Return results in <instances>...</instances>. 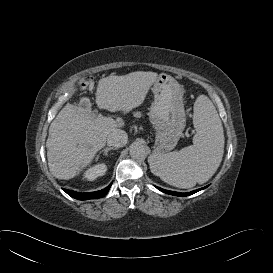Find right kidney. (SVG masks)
Returning a JSON list of instances; mask_svg holds the SVG:
<instances>
[{
  "mask_svg": "<svg viewBox=\"0 0 273 273\" xmlns=\"http://www.w3.org/2000/svg\"><path fill=\"white\" fill-rule=\"evenodd\" d=\"M107 171V166L105 164H97L93 167H90L85 171L83 178L89 181L95 180L97 177L102 176Z\"/></svg>",
  "mask_w": 273,
  "mask_h": 273,
  "instance_id": "obj_1",
  "label": "right kidney"
}]
</instances>
